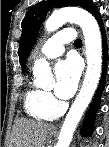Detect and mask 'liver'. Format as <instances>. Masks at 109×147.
<instances>
[{
  "label": "liver",
  "mask_w": 109,
  "mask_h": 147,
  "mask_svg": "<svg viewBox=\"0 0 109 147\" xmlns=\"http://www.w3.org/2000/svg\"><path fill=\"white\" fill-rule=\"evenodd\" d=\"M50 126L19 118L14 122L9 147H43Z\"/></svg>",
  "instance_id": "6515ba94"
}]
</instances>
